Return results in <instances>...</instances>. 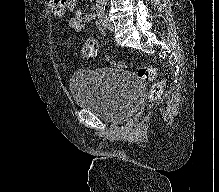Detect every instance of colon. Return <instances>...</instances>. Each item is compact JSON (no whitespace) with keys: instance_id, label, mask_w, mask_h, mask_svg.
Masks as SVG:
<instances>
[{"instance_id":"colon-1","label":"colon","mask_w":219,"mask_h":192,"mask_svg":"<svg viewBox=\"0 0 219 192\" xmlns=\"http://www.w3.org/2000/svg\"><path fill=\"white\" fill-rule=\"evenodd\" d=\"M98 52V43L94 39L87 40L81 50L82 56L85 59H95L98 56ZM115 64L126 69L130 68L128 62H118ZM156 74L157 68L155 67H141L136 71V75L141 81H152L156 77ZM165 86V81H160L151 87L149 93V99L151 103H155L161 98Z\"/></svg>"}]
</instances>
